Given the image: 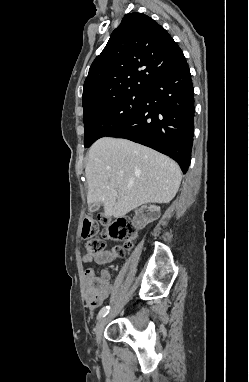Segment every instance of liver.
I'll return each mask as SVG.
<instances>
[{"instance_id":"1","label":"liver","mask_w":249,"mask_h":382,"mask_svg":"<svg viewBox=\"0 0 249 382\" xmlns=\"http://www.w3.org/2000/svg\"><path fill=\"white\" fill-rule=\"evenodd\" d=\"M85 175L88 204H103L105 217L115 218L146 203H169L181 182L180 167L169 157L112 137L100 138L90 147Z\"/></svg>"}]
</instances>
